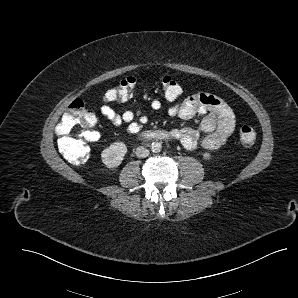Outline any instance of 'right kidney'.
<instances>
[{
    "instance_id": "ca27d5eb",
    "label": "right kidney",
    "mask_w": 298,
    "mask_h": 298,
    "mask_svg": "<svg viewBox=\"0 0 298 298\" xmlns=\"http://www.w3.org/2000/svg\"><path fill=\"white\" fill-rule=\"evenodd\" d=\"M126 153L127 147L123 142H114L102 151V162L107 168L117 167L122 163Z\"/></svg>"
}]
</instances>
